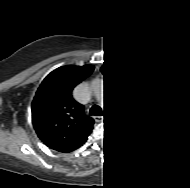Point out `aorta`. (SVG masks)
<instances>
[{
  "mask_svg": "<svg viewBox=\"0 0 190 188\" xmlns=\"http://www.w3.org/2000/svg\"><path fill=\"white\" fill-rule=\"evenodd\" d=\"M101 101H102V103H103V90H102V96H101Z\"/></svg>",
  "mask_w": 190,
  "mask_h": 188,
  "instance_id": "aorta-1",
  "label": "aorta"
}]
</instances>
